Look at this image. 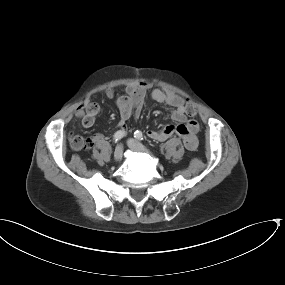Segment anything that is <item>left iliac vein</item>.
Instances as JSON below:
<instances>
[{"mask_svg":"<svg viewBox=\"0 0 285 285\" xmlns=\"http://www.w3.org/2000/svg\"><path fill=\"white\" fill-rule=\"evenodd\" d=\"M127 145L129 146V148H131L134 151L137 152H148V150L137 140L133 139V138H129L127 140Z\"/></svg>","mask_w":285,"mask_h":285,"instance_id":"left-iliac-vein-1","label":"left iliac vein"}]
</instances>
